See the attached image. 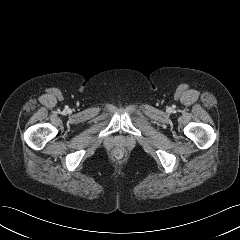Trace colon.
Listing matches in <instances>:
<instances>
[{
	"mask_svg": "<svg viewBox=\"0 0 240 240\" xmlns=\"http://www.w3.org/2000/svg\"><path fill=\"white\" fill-rule=\"evenodd\" d=\"M112 156L115 158V159H121L123 158L124 156V151L119 148V147H116L112 150Z\"/></svg>",
	"mask_w": 240,
	"mask_h": 240,
	"instance_id": "5ec220e1",
	"label": "colon"
}]
</instances>
